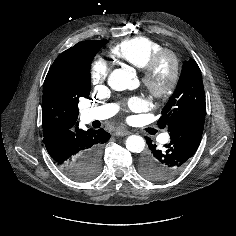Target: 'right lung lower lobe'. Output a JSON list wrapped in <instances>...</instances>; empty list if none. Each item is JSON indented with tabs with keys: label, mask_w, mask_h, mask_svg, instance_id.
Masks as SVG:
<instances>
[{
	"label": "right lung lower lobe",
	"mask_w": 236,
	"mask_h": 236,
	"mask_svg": "<svg viewBox=\"0 0 236 236\" xmlns=\"http://www.w3.org/2000/svg\"><path fill=\"white\" fill-rule=\"evenodd\" d=\"M109 138L110 134L103 129L85 131L76 127L44 136V144L53 161L71 178L72 173L79 176L88 157L100 153L101 145Z\"/></svg>",
	"instance_id": "obj_1"
}]
</instances>
